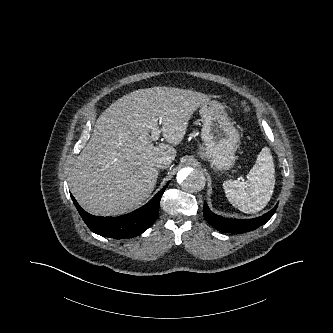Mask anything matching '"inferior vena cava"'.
Listing matches in <instances>:
<instances>
[{
  "label": "inferior vena cava",
  "instance_id": "1",
  "mask_svg": "<svg viewBox=\"0 0 333 333\" xmlns=\"http://www.w3.org/2000/svg\"><path fill=\"white\" fill-rule=\"evenodd\" d=\"M170 165V160L168 158L161 157L156 160L155 166L157 169H164Z\"/></svg>",
  "mask_w": 333,
  "mask_h": 333
}]
</instances>
